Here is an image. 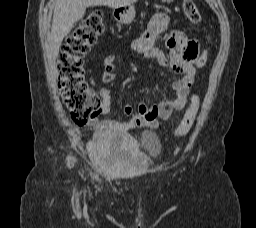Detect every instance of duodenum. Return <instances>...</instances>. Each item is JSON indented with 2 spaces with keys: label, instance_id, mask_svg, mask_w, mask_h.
I'll return each instance as SVG.
<instances>
[{
  "label": "duodenum",
  "instance_id": "duodenum-1",
  "mask_svg": "<svg viewBox=\"0 0 256 228\" xmlns=\"http://www.w3.org/2000/svg\"><path fill=\"white\" fill-rule=\"evenodd\" d=\"M116 14H122L124 12V9L123 8H116L115 10Z\"/></svg>",
  "mask_w": 256,
  "mask_h": 228
}]
</instances>
